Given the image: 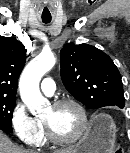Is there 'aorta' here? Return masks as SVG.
<instances>
[{"instance_id": "obj_1", "label": "aorta", "mask_w": 130, "mask_h": 153, "mask_svg": "<svg viewBox=\"0 0 130 153\" xmlns=\"http://www.w3.org/2000/svg\"><path fill=\"white\" fill-rule=\"evenodd\" d=\"M55 62L52 52H42L28 63L21 74V99L33 115L41 114L49 106V101L40 92L39 82L53 68Z\"/></svg>"}]
</instances>
